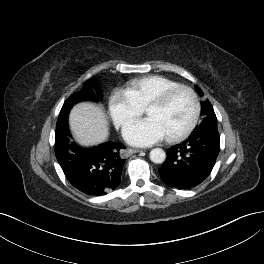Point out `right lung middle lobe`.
Segmentation results:
<instances>
[{
  "mask_svg": "<svg viewBox=\"0 0 264 264\" xmlns=\"http://www.w3.org/2000/svg\"><path fill=\"white\" fill-rule=\"evenodd\" d=\"M84 100L97 101V97L90 90L89 83H87L85 88L82 89L80 92H77L73 94L72 96H70L63 104V107L60 111L59 118H58L57 125H56V129H57L56 133L62 131L64 128L68 126L67 118H68V114H69L71 107H73L75 103H78Z\"/></svg>",
  "mask_w": 264,
  "mask_h": 264,
  "instance_id": "right-lung-middle-lobe-1",
  "label": "right lung middle lobe"
}]
</instances>
